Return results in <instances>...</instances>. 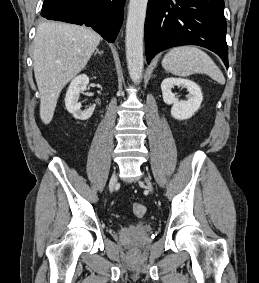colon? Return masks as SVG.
I'll use <instances>...</instances> for the list:
<instances>
[{"label": "colon", "mask_w": 259, "mask_h": 283, "mask_svg": "<svg viewBox=\"0 0 259 283\" xmlns=\"http://www.w3.org/2000/svg\"><path fill=\"white\" fill-rule=\"evenodd\" d=\"M132 212L135 216L142 217L145 214L146 209H145V206L143 204L134 203L132 205Z\"/></svg>", "instance_id": "1"}]
</instances>
